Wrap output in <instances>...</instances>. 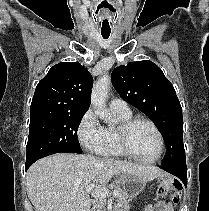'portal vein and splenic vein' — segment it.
I'll return each mask as SVG.
<instances>
[{"label": "portal vein and splenic vein", "instance_id": "portal-vein-and-splenic-vein-1", "mask_svg": "<svg viewBox=\"0 0 209 211\" xmlns=\"http://www.w3.org/2000/svg\"><path fill=\"white\" fill-rule=\"evenodd\" d=\"M95 184H91L86 187V193H91L94 198L100 199V198H106L110 191L107 188H96L94 189ZM113 195L115 197L119 196L118 191H113Z\"/></svg>", "mask_w": 209, "mask_h": 211}]
</instances>
